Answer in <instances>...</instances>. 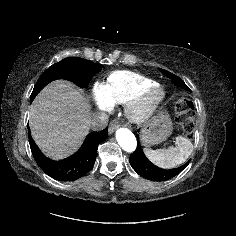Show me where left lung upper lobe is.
<instances>
[{
  "instance_id": "left-lung-upper-lobe-1",
  "label": "left lung upper lobe",
  "mask_w": 236,
  "mask_h": 236,
  "mask_svg": "<svg viewBox=\"0 0 236 236\" xmlns=\"http://www.w3.org/2000/svg\"><path fill=\"white\" fill-rule=\"evenodd\" d=\"M160 71L165 75L167 76L168 78H170L172 80V82L176 85V86H179L185 90H190L187 85L184 83V81L179 78L178 76L166 71V70H163V69H160Z\"/></svg>"
}]
</instances>
